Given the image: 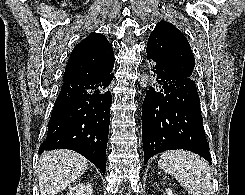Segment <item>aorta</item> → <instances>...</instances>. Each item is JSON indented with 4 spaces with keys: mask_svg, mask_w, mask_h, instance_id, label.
I'll return each instance as SVG.
<instances>
[{
    "mask_svg": "<svg viewBox=\"0 0 245 195\" xmlns=\"http://www.w3.org/2000/svg\"><path fill=\"white\" fill-rule=\"evenodd\" d=\"M146 83H147V75L141 79V85L143 88H146Z\"/></svg>",
    "mask_w": 245,
    "mask_h": 195,
    "instance_id": "aorta-1",
    "label": "aorta"
}]
</instances>
